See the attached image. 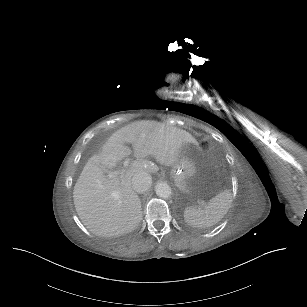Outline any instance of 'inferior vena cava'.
Returning a JSON list of instances; mask_svg holds the SVG:
<instances>
[{"label": "inferior vena cava", "instance_id": "602c4592", "mask_svg": "<svg viewBox=\"0 0 307 307\" xmlns=\"http://www.w3.org/2000/svg\"><path fill=\"white\" fill-rule=\"evenodd\" d=\"M132 189L138 193L147 191L152 185V177L146 172L135 174L132 179Z\"/></svg>", "mask_w": 307, "mask_h": 307}]
</instances>
